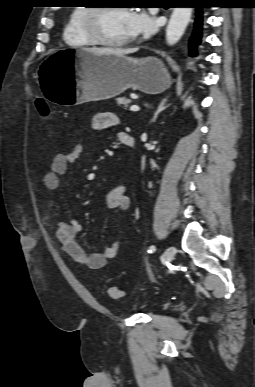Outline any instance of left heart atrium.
<instances>
[{
  "label": "left heart atrium",
  "instance_id": "1",
  "mask_svg": "<svg viewBox=\"0 0 255 387\" xmlns=\"http://www.w3.org/2000/svg\"><path fill=\"white\" fill-rule=\"evenodd\" d=\"M154 20L145 12H129V30L131 36L150 35L155 31Z\"/></svg>",
  "mask_w": 255,
  "mask_h": 387
}]
</instances>
